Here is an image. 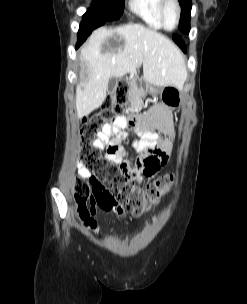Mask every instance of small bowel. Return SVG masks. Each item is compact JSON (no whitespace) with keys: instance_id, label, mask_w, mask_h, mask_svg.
I'll list each match as a JSON object with an SVG mask.
<instances>
[{"instance_id":"obj_1","label":"small bowel","mask_w":247,"mask_h":304,"mask_svg":"<svg viewBox=\"0 0 247 304\" xmlns=\"http://www.w3.org/2000/svg\"><path fill=\"white\" fill-rule=\"evenodd\" d=\"M131 117L133 119L127 120L119 116L111 123L104 125L95 144L101 150L106 148L104 162L119 165L126 177L141 184L145 177H152L169 161L174 127L170 110L162 104L155 105L149 112H133ZM141 118L148 120H136ZM126 137H140V140L134 143L136 149H126V144H119V141H124ZM147 159H156L157 166L149 167ZM77 169L81 177L88 180L93 187L98 188L96 178L80 160L77 161ZM95 206L118 215L125 213V209L119 203L107 196H102ZM86 226L92 230L97 227L94 220L88 221Z\"/></svg>"}]
</instances>
